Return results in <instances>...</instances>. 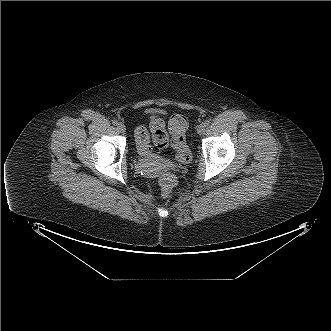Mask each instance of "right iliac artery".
I'll return each instance as SVG.
<instances>
[{
    "mask_svg": "<svg viewBox=\"0 0 331 331\" xmlns=\"http://www.w3.org/2000/svg\"><path fill=\"white\" fill-rule=\"evenodd\" d=\"M112 123H113V125H117L118 121L114 119V120H112Z\"/></svg>",
    "mask_w": 331,
    "mask_h": 331,
    "instance_id": "1",
    "label": "right iliac artery"
}]
</instances>
